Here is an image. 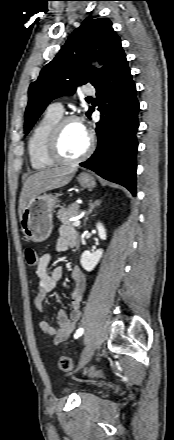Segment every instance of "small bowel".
Listing matches in <instances>:
<instances>
[{
    "label": "small bowel",
    "instance_id": "small-bowel-1",
    "mask_svg": "<svg viewBox=\"0 0 174 440\" xmlns=\"http://www.w3.org/2000/svg\"><path fill=\"white\" fill-rule=\"evenodd\" d=\"M78 243V235L74 229L69 226H61L59 228L58 238L56 241V251L63 253L69 248L76 246ZM50 255L43 254L38 262L36 275L38 277L37 294L34 299V305L42 318L39 322L40 329L48 335L54 343L60 344L66 341L75 329L76 324L82 316L81 304L86 289V277L83 271L75 267L71 272L73 280L72 291L70 295V312L67 313L61 309L57 313L58 326H53L44 315L43 302L46 296L53 292L57 283L61 280L63 270L60 266L49 268Z\"/></svg>",
    "mask_w": 174,
    "mask_h": 440
}]
</instances>
